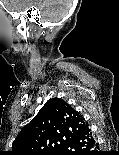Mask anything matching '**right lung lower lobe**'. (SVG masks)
I'll return each instance as SVG.
<instances>
[{"label":"right lung lower lobe","mask_w":119,"mask_h":155,"mask_svg":"<svg viewBox=\"0 0 119 155\" xmlns=\"http://www.w3.org/2000/svg\"><path fill=\"white\" fill-rule=\"evenodd\" d=\"M98 143L87 127L81 134L68 141L58 155H98Z\"/></svg>","instance_id":"right-lung-lower-lobe-1"}]
</instances>
